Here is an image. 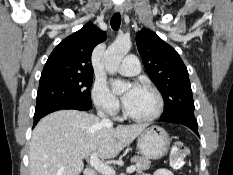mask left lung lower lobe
I'll use <instances>...</instances> for the list:
<instances>
[{"label":"left lung lower lobe","mask_w":233,"mask_h":175,"mask_svg":"<svg viewBox=\"0 0 233 175\" xmlns=\"http://www.w3.org/2000/svg\"><path fill=\"white\" fill-rule=\"evenodd\" d=\"M160 121L182 124L189 127L196 135L198 134V124L195 116H173L169 118H160Z\"/></svg>","instance_id":"left-lung-lower-lobe-1"}]
</instances>
